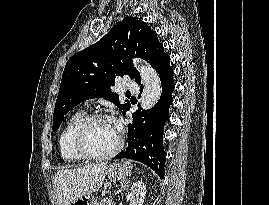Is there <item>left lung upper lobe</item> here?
I'll return each instance as SVG.
<instances>
[{"label":"left lung upper lobe","instance_id":"5c2ea615","mask_svg":"<svg viewBox=\"0 0 269 205\" xmlns=\"http://www.w3.org/2000/svg\"><path fill=\"white\" fill-rule=\"evenodd\" d=\"M167 54L157 34L143 21L126 17L95 44L74 54L66 63L53 115L56 132L64 116L80 102L92 98L111 101L123 114L130 103L119 104L111 90L117 76H130L136 83L141 77L132 58L146 60L156 69Z\"/></svg>","mask_w":269,"mask_h":205}]
</instances>
